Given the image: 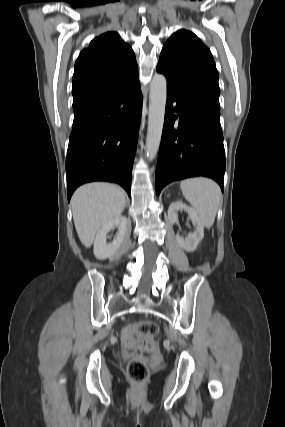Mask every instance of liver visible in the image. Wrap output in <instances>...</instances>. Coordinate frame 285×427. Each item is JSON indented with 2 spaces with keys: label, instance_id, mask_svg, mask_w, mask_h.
Returning <instances> with one entry per match:
<instances>
[{
  "label": "liver",
  "instance_id": "liver-1",
  "mask_svg": "<svg viewBox=\"0 0 285 427\" xmlns=\"http://www.w3.org/2000/svg\"><path fill=\"white\" fill-rule=\"evenodd\" d=\"M126 203L124 191L109 183L79 187L71 199L73 220L81 243L89 248L101 227L119 217Z\"/></svg>",
  "mask_w": 285,
  "mask_h": 427
}]
</instances>
